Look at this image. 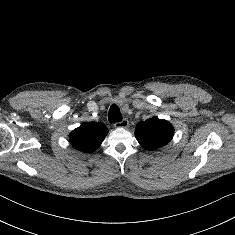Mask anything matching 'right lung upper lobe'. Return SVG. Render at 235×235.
Listing matches in <instances>:
<instances>
[{
  "label": "right lung upper lobe",
  "mask_w": 235,
  "mask_h": 235,
  "mask_svg": "<svg viewBox=\"0 0 235 235\" xmlns=\"http://www.w3.org/2000/svg\"><path fill=\"white\" fill-rule=\"evenodd\" d=\"M108 129L102 123L86 122L74 129L69 139L71 144L83 152L95 151L103 142Z\"/></svg>",
  "instance_id": "cb5924a9"
}]
</instances>
